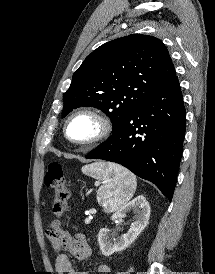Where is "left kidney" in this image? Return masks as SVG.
Returning <instances> with one entry per match:
<instances>
[{"instance_id":"5707ae66","label":"left kidney","mask_w":215,"mask_h":274,"mask_svg":"<svg viewBox=\"0 0 215 274\" xmlns=\"http://www.w3.org/2000/svg\"><path fill=\"white\" fill-rule=\"evenodd\" d=\"M133 209L137 213L136 220L132 223L128 233L115 237L105 228L98 233V242L102 254L110 256L115 252H120L132 244L138 235L145 229L150 217V205L143 195L133 199L122 206L112 216V220H117L126 216V213Z\"/></svg>"}]
</instances>
